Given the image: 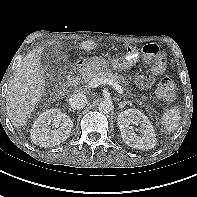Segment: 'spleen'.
I'll return each mask as SVG.
<instances>
[{
	"instance_id": "obj_1",
	"label": "spleen",
	"mask_w": 197,
	"mask_h": 197,
	"mask_svg": "<svg viewBox=\"0 0 197 197\" xmlns=\"http://www.w3.org/2000/svg\"><path fill=\"white\" fill-rule=\"evenodd\" d=\"M180 119V107L173 106L163 114L162 123L166 131L170 133L178 127Z\"/></svg>"
}]
</instances>
